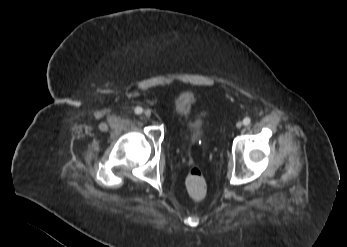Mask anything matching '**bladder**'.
<instances>
[{"label": "bladder", "instance_id": "31cf9c89", "mask_svg": "<svg viewBox=\"0 0 347 247\" xmlns=\"http://www.w3.org/2000/svg\"><path fill=\"white\" fill-rule=\"evenodd\" d=\"M177 112L179 116L186 122L189 128H191V123L189 121V116L191 113V101L186 95H181L178 98Z\"/></svg>", "mask_w": 347, "mask_h": 247}]
</instances>
